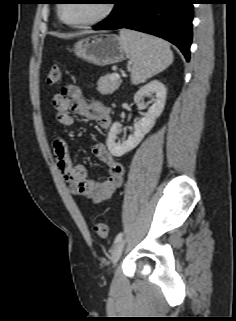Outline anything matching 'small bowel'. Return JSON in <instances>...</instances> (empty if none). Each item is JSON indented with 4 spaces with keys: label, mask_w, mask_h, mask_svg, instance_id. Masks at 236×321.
I'll use <instances>...</instances> for the list:
<instances>
[{
    "label": "small bowel",
    "mask_w": 236,
    "mask_h": 321,
    "mask_svg": "<svg viewBox=\"0 0 236 321\" xmlns=\"http://www.w3.org/2000/svg\"><path fill=\"white\" fill-rule=\"evenodd\" d=\"M52 106L57 121L64 126H73L76 120L72 113L98 123L101 129H108L111 118L107 106L99 100L88 101L82 96L76 85H68L64 92L52 98ZM53 150L58 168L70 184L71 192L80 197L91 199L95 203L108 200L120 187L124 166L115 159L102 143L93 146V154L108 167V174L101 181L87 178L86 167L73 163L66 142L61 137L53 140Z\"/></svg>",
    "instance_id": "c3829d8e"
}]
</instances>
